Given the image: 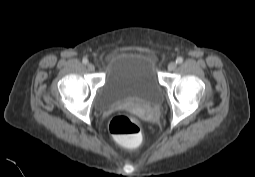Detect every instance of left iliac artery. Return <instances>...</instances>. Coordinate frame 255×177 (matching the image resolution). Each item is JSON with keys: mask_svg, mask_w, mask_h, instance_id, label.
I'll list each match as a JSON object with an SVG mask.
<instances>
[{"mask_svg": "<svg viewBox=\"0 0 255 177\" xmlns=\"http://www.w3.org/2000/svg\"><path fill=\"white\" fill-rule=\"evenodd\" d=\"M183 62V58L182 57H178L177 59H176V63L177 64H181Z\"/></svg>", "mask_w": 255, "mask_h": 177, "instance_id": "left-iliac-artery-1", "label": "left iliac artery"}]
</instances>
